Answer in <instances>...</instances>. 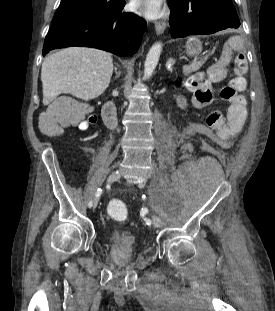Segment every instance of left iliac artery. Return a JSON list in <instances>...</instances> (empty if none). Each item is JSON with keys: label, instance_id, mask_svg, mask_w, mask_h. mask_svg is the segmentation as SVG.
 Listing matches in <instances>:
<instances>
[{"label": "left iliac artery", "instance_id": "1", "mask_svg": "<svg viewBox=\"0 0 275 311\" xmlns=\"http://www.w3.org/2000/svg\"><path fill=\"white\" fill-rule=\"evenodd\" d=\"M145 221L147 222V224H149V223H150V220H149V219H145Z\"/></svg>", "mask_w": 275, "mask_h": 311}]
</instances>
